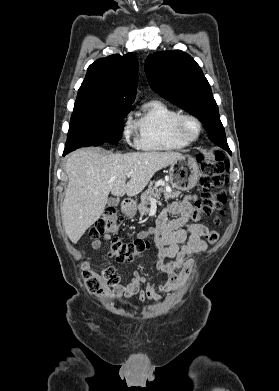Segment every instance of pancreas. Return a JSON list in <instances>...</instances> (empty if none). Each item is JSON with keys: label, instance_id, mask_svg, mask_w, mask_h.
<instances>
[{"label": "pancreas", "instance_id": "cf45deb5", "mask_svg": "<svg viewBox=\"0 0 279 391\" xmlns=\"http://www.w3.org/2000/svg\"><path fill=\"white\" fill-rule=\"evenodd\" d=\"M161 194L164 195V198L166 200L169 199H176L180 196L179 191L175 190H166L165 188H157L154 186H149L148 190L142 193L141 195V203L138 205V210L140 212V215L143 216L149 212L148 205L151 204V198L153 199H159L161 197Z\"/></svg>", "mask_w": 279, "mask_h": 391}]
</instances>
